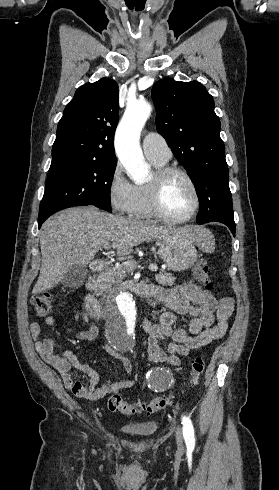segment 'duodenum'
Segmentation results:
<instances>
[{"label":"duodenum","instance_id":"obj_1","mask_svg":"<svg viewBox=\"0 0 279 490\" xmlns=\"http://www.w3.org/2000/svg\"><path fill=\"white\" fill-rule=\"evenodd\" d=\"M90 268L93 273H100L104 269V263L101 260H95L91 262ZM121 290L131 291L139 296H148L149 287L147 284L141 281L127 280L121 283ZM85 308L87 312L95 317L99 318L106 312V306L99 301L94 294H88L85 298Z\"/></svg>","mask_w":279,"mask_h":490}]
</instances>
